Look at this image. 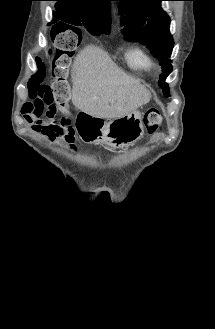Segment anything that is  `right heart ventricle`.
<instances>
[{
	"label": "right heart ventricle",
	"mask_w": 215,
	"mask_h": 329,
	"mask_svg": "<svg viewBox=\"0 0 215 329\" xmlns=\"http://www.w3.org/2000/svg\"><path fill=\"white\" fill-rule=\"evenodd\" d=\"M125 61L128 67L134 71H151L155 65L151 55L140 46L127 50Z\"/></svg>",
	"instance_id": "right-heart-ventricle-1"
}]
</instances>
